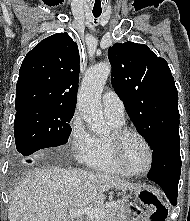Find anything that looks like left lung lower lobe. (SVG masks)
I'll use <instances>...</instances> for the list:
<instances>
[{
	"instance_id": "0a47b994",
	"label": "left lung lower lobe",
	"mask_w": 190,
	"mask_h": 221,
	"mask_svg": "<svg viewBox=\"0 0 190 221\" xmlns=\"http://www.w3.org/2000/svg\"><path fill=\"white\" fill-rule=\"evenodd\" d=\"M180 172V138L172 137L161 141L153 149L148 179L163 189L173 206L177 204Z\"/></svg>"
}]
</instances>
